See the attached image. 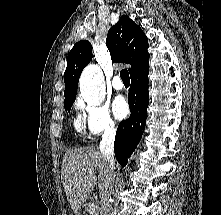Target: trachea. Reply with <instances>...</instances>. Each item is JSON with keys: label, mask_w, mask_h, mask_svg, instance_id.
<instances>
[{"label": "trachea", "mask_w": 221, "mask_h": 215, "mask_svg": "<svg viewBox=\"0 0 221 215\" xmlns=\"http://www.w3.org/2000/svg\"><path fill=\"white\" fill-rule=\"evenodd\" d=\"M120 76H121L123 83H130L129 73L126 69H123L120 72Z\"/></svg>", "instance_id": "trachea-1"}]
</instances>
